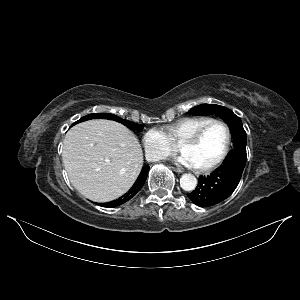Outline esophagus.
<instances>
[{"label":"esophagus","instance_id":"obj_1","mask_svg":"<svg viewBox=\"0 0 300 300\" xmlns=\"http://www.w3.org/2000/svg\"><path fill=\"white\" fill-rule=\"evenodd\" d=\"M170 169H172L173 171L177 172V173H182V169L180 168H176V167H173V166H170Z\"/></svg>","mask_w":300,"mask_h":300}]
</instances>
